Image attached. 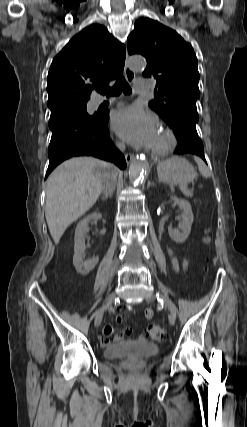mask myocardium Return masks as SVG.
Instances as JSON below:
<instances>
[{"label":"myocardium","mask_w":247,"mask_h":427,"mask_svg":"<svg viewBox=\"0 0 247 427\" xmlns=\"http://www.w3.org/2000/svg\"><path fill=\"white\" fill-rule=\"evenodd\" d=\"M159 132L162 135V141L152 146L151 153L154 156H164L168 154L175 146L176 140L172 131L166 127H161Z\"/></svg>","instance_id":"f54148a6"}]
</instances>
